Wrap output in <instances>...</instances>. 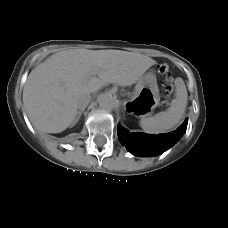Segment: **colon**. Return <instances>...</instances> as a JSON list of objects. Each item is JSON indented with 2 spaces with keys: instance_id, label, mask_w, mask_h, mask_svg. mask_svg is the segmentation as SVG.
Instances as JSON below:
<instances>
[{
  "instance_id": "obj_1",
  "label": "colon",
  "mask_w": 228,
  "mask_h": 228,
  "mask_svg": "<svg viewBox=\"0 0 228 228\" xmlns=\"http://www.w3.org/2000/svg\"><path fill=\"white\" fill-rule=\"evenodd\" d=\"M159 71L167 79V82H166V84L164 86V91H165V94L167 96H170L172 94V92H173V89H174L173 83H172L171 78H170V67H169L168 64L164 63V64H162L160 66Z\"/></svg>"
}]
</instances>
